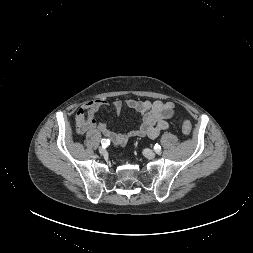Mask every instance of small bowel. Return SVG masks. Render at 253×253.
I'll list each match as a JSON object with an SVG mask.
<instances>
[{"instance_id": "c3829d8e", "label": "small bowel", "mask_w": 253, "mask_h": 253, "mask_svg": "<svg viewBox=\"0 0 253 253\" xmlns=\"http://www.w3.org/2000/svg\"><path fill=\"white\" fill-rule=\"evenodd\" d=\"M108 102L105 99H93L85 102L75 116L76 131L85 134L89 130L97 129L115 145L123 146L131 137H157L161 131L169 128L168 119L174 115V104L162 100H117L113 106L117 114L130 108L139 112L142 121L138 128L127 133L111 131L103 122L95 119V113Z\"/></svg>"}]
</instances>
